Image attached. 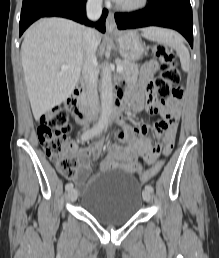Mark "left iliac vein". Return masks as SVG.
Instances as JSON below:
<instances>
[{"label": "left iliac vein", "mask_w": 219, "mask_h": 258, "mask_svg": "<svg viewBox=\"0 0 219 258\" xmlns=\"http://www.w3.org/2000/svg\"><path fill=\"white\" fill-rule=\"evenodd\" d=\"M143 199H144V201H146V202H150L151 199H152V194H151V192L148 191V190H144V191H143Z\"/></svg>", "instance_id": "4c4485c4"}]
</instances>
